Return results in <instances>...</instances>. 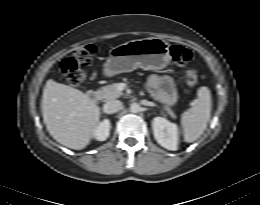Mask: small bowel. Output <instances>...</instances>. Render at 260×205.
<instances>
[{"label":"small bowel","instance_id":"c3829d8e","mask_svg":"<svg viewBox=\"0 0 260 205\" xmlns=\"http://www.w3.org/2000/svg\"><path fill=\"white\" fill-rule=\"evenodd\" d=\"M148 86L162 102L173 104L176 101V89L170 77L153 74L148 79Z\"/></svg>","mask_w":260,"mask_h":205}]
</instances>
